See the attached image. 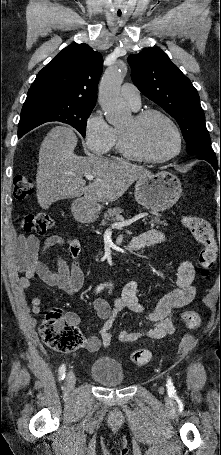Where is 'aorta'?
Wrapping results in <instances>:
<instances>
[{
  "label": "aorta",
  "mask_w": 221,
  "mask_h": 455,
  "mask_svg": "<svg viewBox=\"0 0 221 455\" xmlns=\"http://www.w3.org/2000/svg\"><path fill=\"white\" fill-rule=\"evenodd\" d=\"M126 67L108 68L99 85V101L109 124L118 126L125 123L131 115L126 102L120 96V86L126 74Z\"/></svg>",
  "instance_id": "762f6f07"
}]
</instances>
